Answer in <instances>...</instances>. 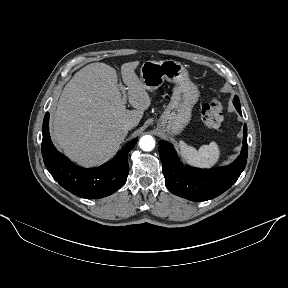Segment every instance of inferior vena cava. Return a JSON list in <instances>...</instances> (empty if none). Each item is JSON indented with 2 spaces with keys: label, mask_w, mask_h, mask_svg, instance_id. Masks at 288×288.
<instances>
[{
  "label": "inferior vena cava",
  "mask_w": 288,
  "mask_h": 288,
  "mask_svg": "<svg viewBox=\"0 0 288 288\" xmlns=\"http://www.w3.org/2000/svg\"><path fill=\"white\" fill-rule=\"evenodd\" d=\"M137 124L134 120H128L124 124V129L125 130H131L133 127H135Z\"/></svg>",
  "instance_id": "602c4592"
}]
</instances>
